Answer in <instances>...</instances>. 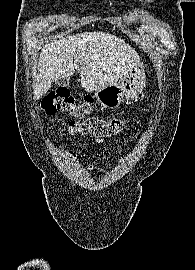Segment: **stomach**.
<instances>
[{
	"label": "stomach",
	"instance_id": "obj_1",
	"mask_svg": "<svg viewBox=\"0 0 195 270\" xmlns=\"http://www.w3.org/2000/svg\"><path fill=\"white\" fill-rule=\"evenodd\" d=\"M144 83L145 70L143 65L139 64L123 79L95 91V97L104 107L117 108L123 100L136 98L141 93Z\"/></svg>",
	"mask_w": 195,
	"mask_h": 270
}]
</instances>
